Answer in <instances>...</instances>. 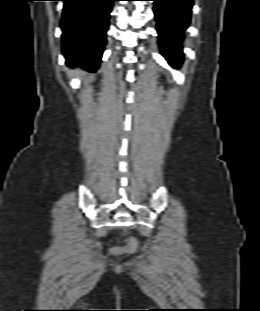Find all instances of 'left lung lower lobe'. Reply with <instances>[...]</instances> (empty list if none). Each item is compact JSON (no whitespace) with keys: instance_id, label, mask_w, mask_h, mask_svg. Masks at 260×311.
Returning <instances> with one entry per match:
<instances>
[{"instance_id":"1","label":"left lung lower lobe","mask_w":260,"mask_h":311,"mask_svg":"<svg viewBox=\"0 0 260 311\" xmlns=\"http://www.w3.org/2000/svg\"><path fill=\"white\" fill-rule=\"evenodd\" d=\"M162 54L174 67L183 59L180 42L190 23L193 0H152Z\"/></svg>"}]
</instances>
